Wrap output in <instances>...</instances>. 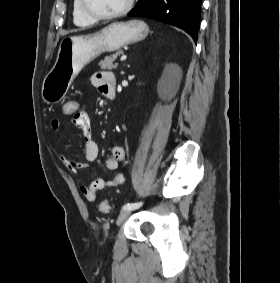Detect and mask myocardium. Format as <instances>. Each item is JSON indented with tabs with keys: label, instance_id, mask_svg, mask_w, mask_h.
<instances>
[{
	"label": "myocardium",
	"instance_id": "myocardium-1",
	"mask_svg": "<svg viewBox=\"0 0 280 283\" xmlns=\"http://www.w3.org/2000/svg\"><path fill=\"white\" fill-rule=\"evenodd\" d=\"M80 1H81V6H82L84 13L95 21H106V20H114V19L120 18L130 12L135 2V0H127L125 6L121 10L115 13L98 14L90 9V7L88 6L87 0H80Z\"/></svg>",
	"mask_w": 280,
	"mask_h": 283
}]
</instances>
